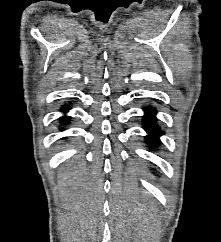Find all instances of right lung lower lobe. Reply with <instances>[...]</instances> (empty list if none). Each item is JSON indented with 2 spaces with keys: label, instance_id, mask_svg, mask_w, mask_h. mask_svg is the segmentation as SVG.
<instances>
[{
  "label": "right lung lower lobe",
  "instance_id": "right-lung-lower-lobe-1",
  "mask_svg": "<svg viewBox=\"0 0 221 242\" xmlns=\"http://www.w3.org/2000/svg\"><path fill=\"white\" fill-rule=\"evenodd\" d=\"M68 109H69L68 107H64V108H63V110H68ZM69 119H70V117H68V116H64V117L61 119V121L67 123Z\"/></svg>",
  "mask_w": 221,
  "mask_h": 242
}]
</instances>
